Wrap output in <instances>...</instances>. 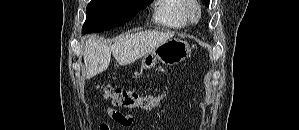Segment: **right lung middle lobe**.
<instances>
[{
    "label": "right lung middle lobe",
    "instance_id": "dd1d6c3e",
    "mask_svg": "<svg viewBox=\"0 0 299 130\" xmlns=\"http://www.w3.org/2000/svg\"><path fill=\"white\" fill-rule=\"evenodd\" d=\"M151 2L153 0H92L87 6L82 32H102L122 25Z\"/></svg>",
    "mask_w": 299,
    "mask_h": 130
}]
</instances>
